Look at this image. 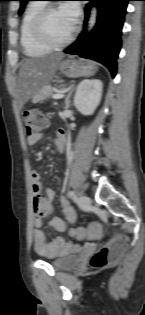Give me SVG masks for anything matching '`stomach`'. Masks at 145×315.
<instances>
[{"label":"stomach","mask_w":145,"mask_h":315,"mask_svg":"<svg viewBox=\"0 0 145 315\" xmlns=\"http://www.w3.org/2000/svg\"><path fill=\"white\" fill-rule=\"evenodd\" d=\"M69 65L68 71H61L70 78L80 76H89L95 72V66L91 62H80L77 60H67Z\"/></svg>","instance_id":"1"}]
</instances>
